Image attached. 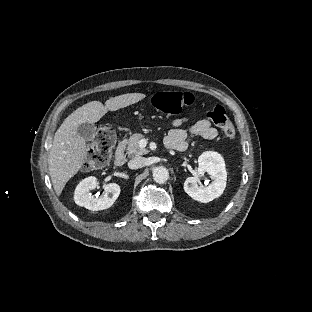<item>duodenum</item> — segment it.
I'll return each mask as SVG.
<instances>
[{"instance_id":"410a0bca","label":"duodenum","mask_w":312,"mask_h":312,"mask_svg":"<svg viewBox=\"0 0 312 312\" xmlns=\"http://www.w3.org/2000/svg\"><path fill=\"white\" fill-rule=\"evenodd\" d=\"M114 165L116 167H123L126 162V152H125V143L124 141H121L115 151L114 159H113Z\"/></svg>"}]
</instances>
